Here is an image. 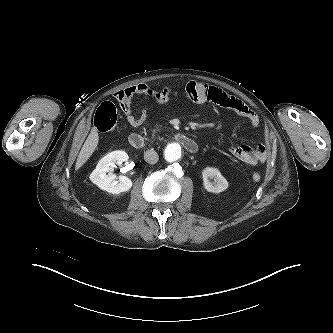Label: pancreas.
Wrapping results in <instances>:
<instances>
[{"mask_svg": "<svg viewBox=\"0 0 333 333\" xmlns=\"http://www.w3.org/2000/svg\"><path fill=\"white\" fill-rule=\"evenodd\" d=\"M155 133H156V131H155V130H153V132H152V136H153V137L155 136Z\"/></svg>", "mask_w": 333, "mask_h": 333, "instance_id": "1", "label": "pancreas"}]
</instances>
